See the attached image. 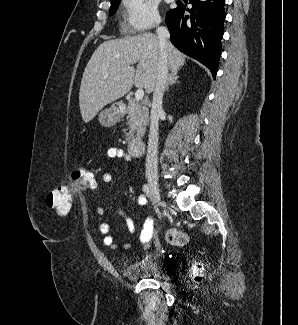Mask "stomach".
Here are the masks:
<instances>
[{
    "instance_id": "obj_1",
    "label": "stomach",
    "mask_w": 298,
    "mask_h": 325,
    "mask_svg": "<svg viewBox=\"0 0 298 325\" xmlns=\"http://www.w3.org/2000/svg\"><path fill=\"white\" fill-rule=\"evenodd\" d=\"M121 118V112L118 106H110L99 112L98 120L102 126H113Z\"/></svg>"
}]
</instances>
